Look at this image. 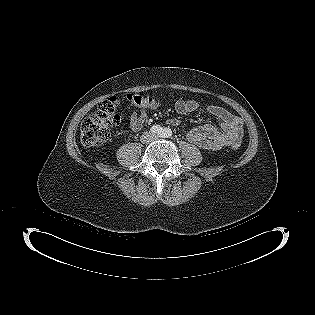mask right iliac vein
<instances>
[{
    "label": "right iliac vein",
    "mask_w": 315,
    "mask_h": 315,
    "mask_svg": "<svg viewBox=\"0 0 315 315\" xmlns=\"http://www.w3.org/2000/svg\"><path fill=\"white\" fill-rule=\"evenodd\" d=\"M151 140V137L148 133H146L143 137H142V142L144 143H148Z\"/></svg>",
    "instance_id": "1"
}]
</instances>
